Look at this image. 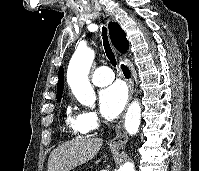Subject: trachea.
Here are the masks:
<instances>
[{"label":"trachea","mask_w":199,"mask_h":171,"mask_svg":"<svg viewBox=\"0 0 199 171\" xmlns=\"http://www.w3.org/2000/svg\"><path fill=\"white\" fill-rule=\"evenodd\" d=\"M102 37H103V46L105 49V53L113 67L117 66V60L115 54L110 46L108 36H107V29L105 27L102 28Z\"/></svg>","instance_id":"obj_1"}]
</instances>
